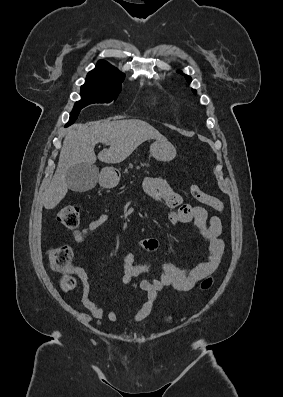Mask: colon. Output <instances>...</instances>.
<instances>
[{
    "instance_id": "obj_1",
    "label": "colon",
    "mask_w": 283,
    "mask_h": 397,
    "mask_svg": "<svg viewBox=\"0 0 283 397\" xmlns=\"http://www.w3.org/2000/svg\"><path fill=\"white\" fill-rule=\"evenodd\" d=\"M192 197L213 209L223 211V203L215 196L205 193L198 185H190ZM57 220L67 228H75L79 224L80 210L78 207L69 205L61 208L57 213ZM47 258L51 269L61 276V287L68 292L75 287V279L72 277L73 251L69 246H58L48 250ZM213 285L211 277L204 279L200 288L208 290Z\"/></svg>"
}]
</instances>
